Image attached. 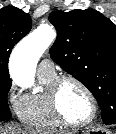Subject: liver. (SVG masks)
<instances>
[{
	"mask_svg": "<svg viewBox=\"0 0 116 134\" xmlns=\"http://www.w3.org/2000/svg\"><path fill=\"white\" fill-rule=\"evenodd\" d=\"M0 134H36V132L28 128H21L15 126H0Z\"/></svg>",
	"mask_w": 116,
	"mask_h": 134,
	"instance_id": "6515ba94",
	"label": "liver"
}]
</instances>
